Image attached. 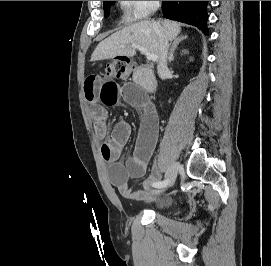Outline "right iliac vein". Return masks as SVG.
Listing matches in <instances>:
<instances>
[{"label":"right iliac vein","mask_w":271,"mask_h":266,"mask_svg":"<svg viewBox=\"0 0 271 266\" xmlns=\"http://www.w3.org/2000/svg\"><path fill=\"white\" fill-rule=\"evenodd\" d=\"M180 169H181V166L179 163L176 162V163L172 164L168 170L167 184L164 187H161V188L154 190V192L160 193L163 190L171 187L174 184L175 179L177 177V173Z\"/></svg>","instance_id":"63e3f726"}]
</instances>
